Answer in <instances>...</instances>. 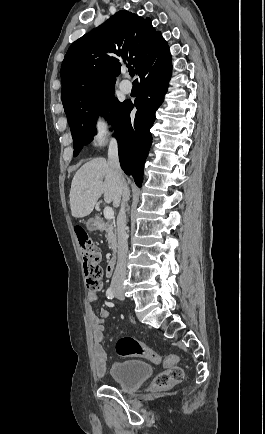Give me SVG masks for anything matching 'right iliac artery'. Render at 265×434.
<instances>
[{
	"mask_svg": "<svg viewBox=\"0 0 265 434\" xmlns=\"http://www.w3.org/2000/svg\"><path fill=\"white\" fill-rule=\"evenodd\" d=\"M106 296L108 299H113L114 298V291L112 290V288H108L106 291Z\"/></svg>",
	"mask_w": 265,
	"mask_h": 434,
	"instance_id": "1",
	"label": "right iliac artery"
}]
</instances>
